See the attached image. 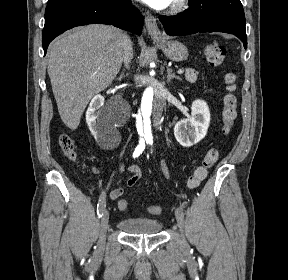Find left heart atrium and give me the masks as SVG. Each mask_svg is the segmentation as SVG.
Masks as SVG:
<instances>
[{"label":"left heart atrium","instance_id":"39dd6f15","mask_svg":"<svg viewBox=\"0 0 288 280\" xmlns=\"http://www.w3.org/2000/svg\"><path fill=\"white\" fill-rule=\"evenodd\" d=\"M155 9L167 8L173 0H141Z\"/></svg>","mask_w":288,"mask_h":280}]
</instances>
